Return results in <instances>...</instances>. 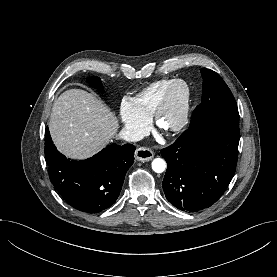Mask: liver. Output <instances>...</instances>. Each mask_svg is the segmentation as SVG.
<instances>
[{"instance_id":"6515ba94","label":"liver","mask_w":277,"mask_h":277,"mask_svg":"<svg viewBox=\"0 0 277 277\" xmlns=\"http://www.w3.org/2000/svg\"><path fill=\"white\" fill-rule=\"evenodd\" d=\"M118 120L95 95L70 89L55 101L49 121L51 138L69 158L86 159L116 134Z\"/></svg>"}]
</instances>
